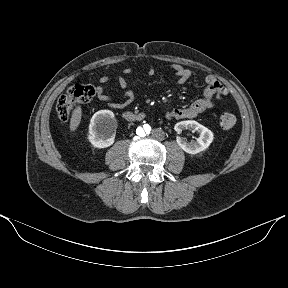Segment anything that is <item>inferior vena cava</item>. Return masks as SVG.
<instances>
[{
	"instance_id": "602c4592",
	"label": "inferior vena cava",
	"mask_w": 288,
	"mask_h": 288,
	"mask_svg": "<svg viewBox=\"0 0 288 288\" xmlns=\"http://www.w3.org/2000/svg\"><path fill=\"white\" fill-rule=\"evenodd\" d=\"M151 138H152V140L155 141V142H161V141H163L164 138H165V133H164V131L161 130V129H155V130H153L152 133H151Z\"/></svg>"
}]
</instances>
